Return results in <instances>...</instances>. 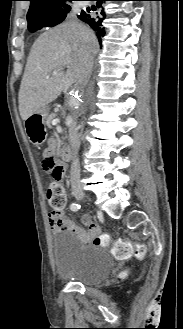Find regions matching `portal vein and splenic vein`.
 <instances>
[{"label": "portal vein and splenic vein", "mask_w": 183, "mask_h": 329, "mask_svg": "<svg viewBox=\"0 0 183 329\" xmlns=\"http://www.w3.org/2000/svg\"><path fill=\"white\" fill-rule=\"evenodd\" d=\"M56 73V72H54ZM60 122L58 118L52 120V125H57Z\"/></svg>", "instance_id": "portal-vein-and-splenic-vein-1"}]
</instances>
